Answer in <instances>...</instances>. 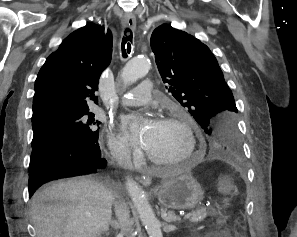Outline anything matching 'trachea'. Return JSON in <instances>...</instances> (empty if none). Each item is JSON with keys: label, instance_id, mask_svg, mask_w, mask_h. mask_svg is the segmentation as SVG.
I'll use <instances>...</instances> for the list:
<instances>
[{"label": "trachea", "instance_id": "3493384b", "mask_svg": "<svg viewBox=\"0 0 297 237\" xmlns=\"http://www.w3.org/2000/svg\"><path fill=\"white\" fill-rule=\"evenodd\" d=\"M133 34L130 28H126L124 32V37L122 38L121 50L122 56L127 58L128 54L131 52V44H132Z\"/></svg>", "mask_w": 297, "mask_h": 237}]
</instances>
